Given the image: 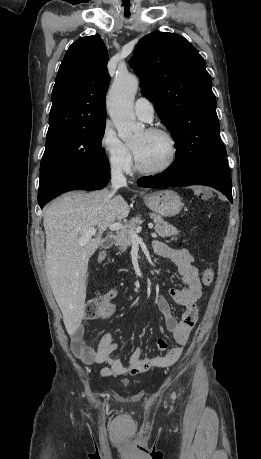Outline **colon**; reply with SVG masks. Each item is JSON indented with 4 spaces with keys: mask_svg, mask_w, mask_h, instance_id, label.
Here are the masks:
<instances>
[{
    "mask_svg": "<svg viewBox=\"0 0 261 459\" xmlns=\"http://www.w3.org/2000/svg\"><path fill=\"white\" fill-rule=\"evenodd\" d=\"M197 197L200 198H208L214 197L215 191L214 188H197L196 191ZM99 262H103L105 260V256L99 254L98 256ZM214 279V271L212 268H206L202 275V283L204 286H210ZM112 299V294L108 291L105 293H101L95 297L90 298L85 307V318L86 319H94L96 318L101 309L104 308L109 304Z\"/></svg>",
    "mask_w": 261,
    "mask_h": 459,
    "instance_id": "1",
    "label": "colon"
}]
</instances>
